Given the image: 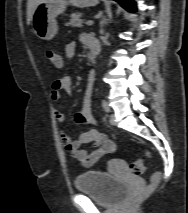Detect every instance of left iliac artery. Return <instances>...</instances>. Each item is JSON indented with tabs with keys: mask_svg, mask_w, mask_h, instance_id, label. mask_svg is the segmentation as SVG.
Listing matches in <instances>:
<instances>
[{
	"mask_svg": "<svg viewBox=\"0 0 188 213\" xmlns=\"http://www.w3.org/2000/svg\"><path fill=\"white\" fill-rule=\"evenodd\" d=\"M102 107H103V109H104L107 113L110 112V107H109V105H108V103H107L106 100H103V101H102Z\"/></svg>",
	"mask_w": 188,
	"mask_h": 213,
	"instance_id": "44dca946",
	"label": "left iliac artery"
}]
</instances>
